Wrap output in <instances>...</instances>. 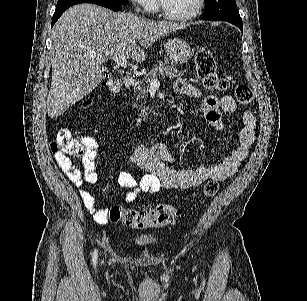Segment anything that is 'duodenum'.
Segmentation results:
<instances>
[{
    "label": "duodenum",
    "mask_w": 307,
    "mask_h": 301,
    "mask_svg": "<svg viewBox=\"0 0 307 301\" xmlns=\"http://www.w3.org/2000/svg\"><path fill=\"white\" fill-rule=\"evenodd\" d=\"M123 82L126 87L130 88L135 84V79L132 76H125Z\"/></svg>",
    "instance_id": "410a0bca"
}]
</instances>
